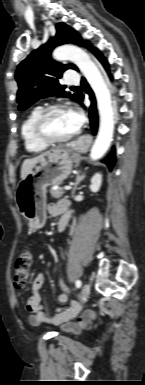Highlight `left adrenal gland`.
<instances>
[{
	"mask_svg": "<svg viewBox=\"0 0 145 385\" xmlns=\"http://www.w3.org/2000/svg\"><path fill=\"white\" fill-rule=\"evenodd\" d=\"M85 178V174H80V172H78V174L76 175V180H75V184H74V188L72 190V196H74L75 194V191L78 189V185L79 183Z\"/></svg>",
	"mask_w": 145,
	"mask_h": 385,
	"instance_id": "1",
	"label": "left adrenal gland"
}]
</instances>
